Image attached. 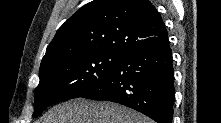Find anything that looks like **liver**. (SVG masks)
<instances>
[{"instance_id":"liver-1","label":"liver","mask_w":221,"mask_h":123,"mask_svg":"<svg viewBox=\"0 0 221 123\" xmlns=\"http://www.w3.org/2000/svg\"><path fill=\"white\" fill-rule=\"evenodd\" d=\"M42 123H153L147 117L119 104L75 99L54 106Z\"/></svg>"}]
</instances>
